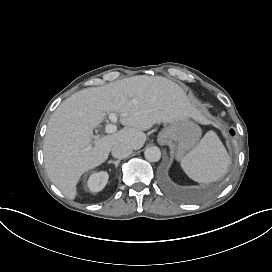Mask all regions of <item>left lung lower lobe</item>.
<instances>
[{
	"instance_id": "1",
	"label": "left lung lower lobe",
	"mask_w": 272,
	"mask_h": 272,
	"mask_svg": "<svg viewBox=\"0 0 272 272\" xmlns=\"http://www.w3.org/2000/svg\"><path fill=\"white\" fill-rule=\"evenodd\" d=\"M230 133H231L232 135H234V134H235V132H234L233 130H230Z\"/></svg>"
}]
</instances>
